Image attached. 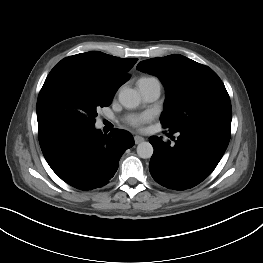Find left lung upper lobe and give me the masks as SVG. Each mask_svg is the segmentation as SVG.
<instances>
[{
    "label": "left lung upper lobe",
    "instance_id": "1",
    "mask_svg": "<svg viewBox=\"0 0 263 263\" xmlns=\"http://www.w3.org/2000/svg\"><path fill=\"white\" fill-rule=\"evenodd\" d=\"M137 69L159 77L165 86L166 99L160 118L164 128L175 132L207 119L231 126L229 95L209 67L173 54L141 61Z\"/></svg>",
    "mask_w": 263,
    "mask_h": 263
}]
</instances>
